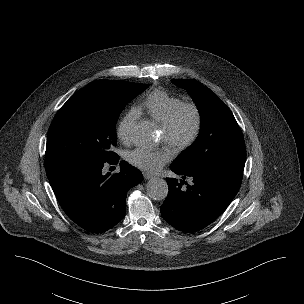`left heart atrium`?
I'll list each match as a JSON object with an SVG mask.
<instances>
[{
  "mask_svg": "<svg viewBox=\"0 0 304 304\" xmlns=\"http://www.w3.org/2000/svg\"><path fill=\"white\" fill-rule=\"evenodd\" d=\"M173 156L169 148L148 150L136 148L127 153V161L134 167L146 171L155 172L166 164Z\"/></svg>",
  "mask_w": 304,
  "mask_h": 304,
  "instance_id": "left-heart-atrium-1",
  "label": "left heart atrium"
}]
</instances>
